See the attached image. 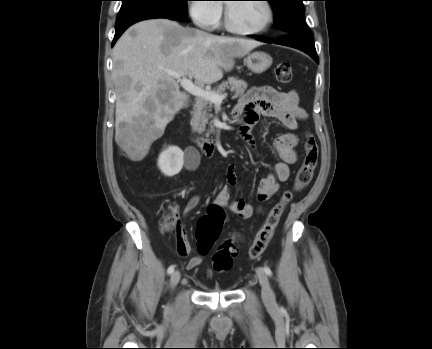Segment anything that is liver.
I'll use <instances>...</instances> for the list:
<instances>
[{
    "mask_svg": "<svg viewBox=\"0 0 432 349\" xmlns=\"http://www.w3.org/2000/svg\"><path fill=\"white\" fill-rule=\"evenodd\" d=\"M258 41L220 37L153 19L130 27L113 49L112 77L116 93L115 141L132 161H141L164 134L188 96L167 74L172 70L212 84L230 71L235 58L260 46Z\"/></svg>",
    "mask_w": 432,
    "mask_h": 349,
    "instance_id": "6515ba94",
    "label": "liver"
}]
</instances>
